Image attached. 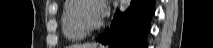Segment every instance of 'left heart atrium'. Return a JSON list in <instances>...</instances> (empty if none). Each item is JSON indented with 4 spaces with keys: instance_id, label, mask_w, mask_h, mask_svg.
<instances>
[{
    "instance_id": "obj_1",
    "label": "left heart atrium",
    "mask_w": 213,
    "mask_h": 48,
    "mask_svg": "<svg viewBox=\"0 0 213 48\" xmlns=\"http://www.w3.org/2000/svg\"><path fill=\"white\" fill-rule=\"evenodd\" d=\"M108 6L107 2L105 0H97L96 1V16L99 20H101L107 13Z\"/></svg>"
}]
</instances>
